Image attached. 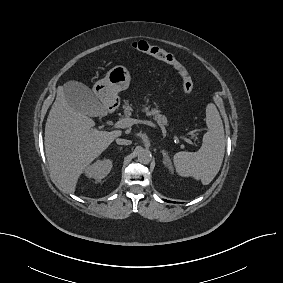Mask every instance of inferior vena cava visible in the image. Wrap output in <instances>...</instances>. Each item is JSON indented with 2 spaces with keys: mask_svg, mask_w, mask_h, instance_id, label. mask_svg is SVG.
I'll return each mask as SVG.
<instances>
[{
  "mask_svg": "<svg viewBox=\"0 0 283 283\" xmlns=\"http://www.w3.org/2000/svg\"><path fill=\"white\" fill-rule=\"evenodd\" d=\"M118 145H130L131 141L127 139H116Z\"/></svg>",
  "mask_w": 283,
  "mask_h": 283,
  "instance_id": "1",
  "label": "inferior vena cava"
}]
</instances>
